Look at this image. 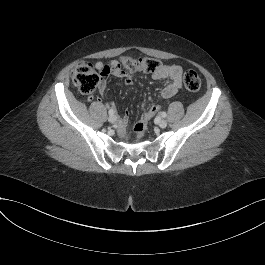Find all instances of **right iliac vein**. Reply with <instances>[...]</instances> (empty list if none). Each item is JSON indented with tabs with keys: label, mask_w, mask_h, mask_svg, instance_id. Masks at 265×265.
Segmentation results:
<instances>
[{
	"label": "right iliac vein",
	"mask_w": 265,
	"mask_h": 265,
	"mask_svg": "<svg viewBox=\"0 0 265 265\" xmlns=\"http://www.w3.org/2000/svg\"><path fill=\"white\" fill-rule=\"evenodd\" d=\"M108 121L110 122V123H114V122H116V116L115 115H110L109 117H108Z\"/></svg>",
	"instance_id": "right-iliac-vein-1"
}]
</instances>
